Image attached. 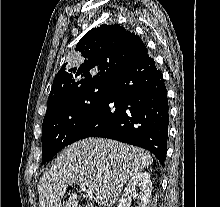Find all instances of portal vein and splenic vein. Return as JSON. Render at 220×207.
<instances>
[{
	"instance_id": "18ae733b",
	"label": "portal vein and splenic vein",
	"mask_w": 220,
	"mask_h": 207,
	"mask_svg": "<svg viewBox=\"0 0 220 207\" xmlns=\"http://www.w3.org/2000/svg\"><path fill=\"white\" fill-rule=\"evenodd\" d=\"M80 189L88 196H93V194H94V189L93 188H86L85 185H80Z\"/></svg>"
}]
</instances>
